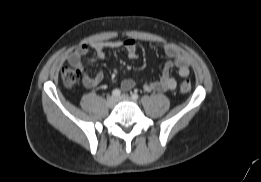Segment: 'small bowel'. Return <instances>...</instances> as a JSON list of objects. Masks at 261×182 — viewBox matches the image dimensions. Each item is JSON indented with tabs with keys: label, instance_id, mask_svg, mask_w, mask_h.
Listing matches in <instances>:
<instances>
[{
	"label": "small bowel",
	"instance_id": "small-bowel-1",
	"mask_svg": "<svg viewBox=\"0 0 261 182\" xmlns=\"http://www.w3.org/2000/svg\"><path fill=\"white\" fill-rule=\"evenodd\" d=\"M89 48L94 50V56L89 60L90 62L103 60L106 49L124 48L130 59L138 57V45L134 39L100 41L89 45H81L77 50L68 55L67 62L81 72L82 82L86 88L96 87L103 79L102 72L91 74L85 69L82 59L87 54ZM163 50L172 61L165 64L164 71L157 80L146 82L143 85V89L147 92L173 90L176 87V81L169 75V71L174 67L177 68L178 74L183 78L187 77L190 73L189 58L187 55L170 44L164 45ZM134 86L135 81L133 79H124L121 82V88L125 91L132 89Z\"/></svg>",
	"mask_w": 261,
	"mask_h": 182
}]
</instances>
